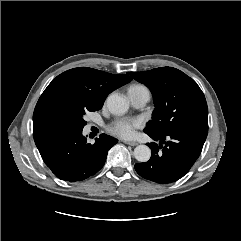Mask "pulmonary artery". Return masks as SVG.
Masks as SVG:
<instances>
[{
  "instance_id": "e3ab8cb5",
  "label": "pulmonary artery",
  "mask_w": 241,
  "mask_h": 241,
  "mask_svg": "<svg viewBox=\"0 0 241 241\" xmlns=\"http://www.w3.org/2000/svg\"><path fill=\"white\" fill-rule=\"evenodd\" d=\"M128 97L131 104L134 107H143L145 106L150 100V92L149 90L144 88H136V89H129L128 90Z\"/></svg>"
}]
</instances>
